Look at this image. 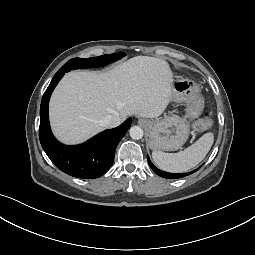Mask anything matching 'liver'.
Masks as SVG:
<instances>
[{"label": "liver", "instance_id": "6515ba94", "mask_svg": "<svg viewBox=\"0 0 255 255\" xmlns=\"http://www.w3.org/2000/svg\"><path fill=\"white\" fill-rule=\"evenodd\" d=\"M173 81L168 63L148 56L133 57L108 72H70L51 97L53 132L75 144L102 131L108 115L157 118L172 101Z\"/></svg>", "mask_w": 255, "mask_h": 255}]
</instances>
